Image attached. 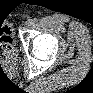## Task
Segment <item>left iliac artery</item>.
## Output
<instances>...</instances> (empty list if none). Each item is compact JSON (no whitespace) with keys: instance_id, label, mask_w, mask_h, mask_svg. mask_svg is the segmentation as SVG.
<instances>
[{"instance_id":"obj_1","label":"left iliac artery","mask_w":93,"mask_h":93,"mask_svg":"<svg viewBox=\"0 0 93 93\" xmlns=\"http://www.w3.org/2000/svg\"><path fill=\"white\" fill-rule=\"evenodd\" d=\"M32 21H33V23H37L38 22V19L37 18H34Z\"/></svg>"}]
</instances>
